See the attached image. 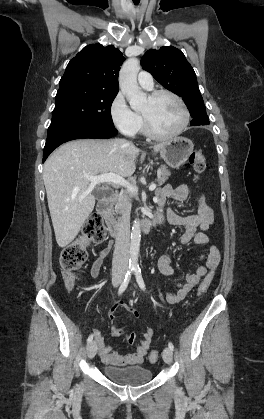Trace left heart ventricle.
Instances as JSON below:
<instances>
[{
    "mask_svg": "<svg viewBox=\"0 0 264 419\" xmlns=\"http://www.w3.org/2000/svg\"><path fill=\"white\" fill-rule=\"evenodd\" d=\"M146 113L154 127L160 134L175 132L183 121V113L178 102L168 95L155 100L147 99L142 110Z\"/></svg>",
    "mask_w": 264,
    "mask_h": 419,
    "instance_id": "left-heart-ventricle-1",
    "label": "left heart ventricle"
}]
</instances>
